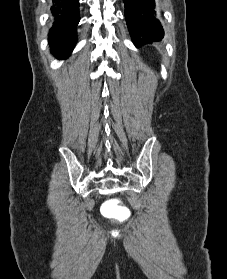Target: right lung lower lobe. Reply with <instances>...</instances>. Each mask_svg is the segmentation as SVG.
<instances>
[{"label": "right lung lower lobe", "instance_id": "1", "mask_svg": "<svg viewBox=\"0 0 227 279\" xmlns=\"http://www.w3.org/2000/svg\"><path fill=\"white\" fill-rule=\"evenodd\" d=\"M51 7L55 17L48 35L51 53L59 59L67 58L77 41L76 26L80 20L79 0H53Z\"/></svg>", "mask_w": 227, "mask_h": 279}]
</instances>
